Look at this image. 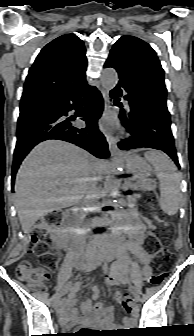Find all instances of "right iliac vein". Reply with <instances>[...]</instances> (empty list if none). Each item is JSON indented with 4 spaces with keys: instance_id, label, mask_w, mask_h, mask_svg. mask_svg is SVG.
<instances>
[{
    "instance_id": "obj_1",
    "label": "right iliac vein",
    "mask_w": 194,
    "mask_h": 336,
    "mask_svg": "<svg viewBox=\"0 0 194 336\" xmlns=\"http://www.w3.org/2000/svg\"><path fill=\"white\" fill-rule=\"evenodd\" d=\"M56 309H57V312L59 313V311H60V305L59 304L56 306Z\"/></svg>"
}]
</instances>
